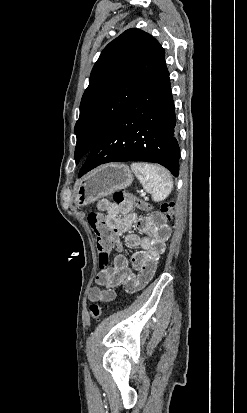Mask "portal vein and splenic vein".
<instances>
[{"instance_id":"18ae733b","label":"portal vein and splenic vein","mask_w":247,"mask_h":413,"mask_svg":"<svg viewBox=\"0 0 247 413\" xmlns=\"http://www.w3.org/2000/svg\"><path fill=\"white\" fill-rule=\"evenodd\" d=\"M140 192H141V193H140V196H141V197L147 196V193H144L143 190H141Z\"/></svg>"}]
</instances>
